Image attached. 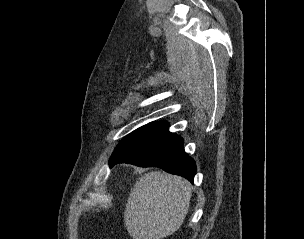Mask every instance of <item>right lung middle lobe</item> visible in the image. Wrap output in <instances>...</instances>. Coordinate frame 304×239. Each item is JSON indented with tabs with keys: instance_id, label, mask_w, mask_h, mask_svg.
<instances>
[{
	"instance_id": "dd1d6c3e",
	"label": "right lung middle lobe",
	"mask_w": 304,
	"mask_h": 239,
	"mask_svg": "<svg viewBox=\"0 0 304 239\" xmlns=\"http://www.w3.org/2000/svg\"><path fill=\"white\" fill-rule=\"evenodd\" d=\"M166 121H159V122H151L145 126H142L138 128L137 130L130 133L128 136H126L116 147L115 151L120 150L121 148L127 146L128 144L132 143L133 141H136L137 139L144 137L151 133L152 131L159 129L166 125ZM114 151V152H115Z\"/></svg>"
}]
</instances>
